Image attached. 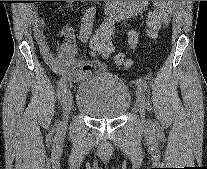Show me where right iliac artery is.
<instances>
[{
    "mask_svg": "<svg viewBox=\"0 0 207 169\" xmlns=\"http://www.w3.org/2000/svg\"><path fill=\"white\" fill-rule=\"evenodd\" d=\"M95 12H96V9L92 7L89 10H87V12L85 13L83 17L81 30H80V39L83 42L87 41L91 34L92 25H93L94 18H95ZM67 81L68 79L66 77H62L59 81V84L57 87V95L59 99L60 97L63 96L64 92L66 91Z\"/></svg>",
    "mask_w": 207,
    "mask_h": 169,
    "instance_id": "right-iliac-artery-1",
    "label": "right iliac artery"
}]
</instances>
